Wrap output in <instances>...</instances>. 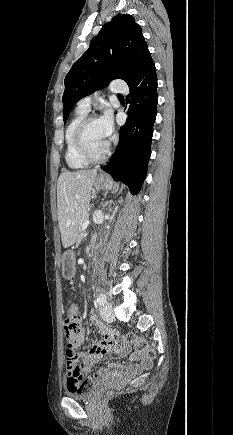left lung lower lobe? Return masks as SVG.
Listing matches in <instances>:
<instances>
[{
	"mask_svg": "<svg viewBox=\"0 0 233 435\" xmlns=\"http://www.w3.org/2000/svg\"><path fill=\"white\" fill-rule=\"evenodd\" d=\"M129 88V118L125 127L120 128V142L112 159L102 169L111 174L115 181L126 184L132 194H138L147 174L157 114L154 63Z\"/></svg>",
	"mask_w": 233,
	"mask_h": 435,
	"instance_id": "left-lung-lower-lobe-1",
	"label": "left lung lower lobe"
}]
</instances>
